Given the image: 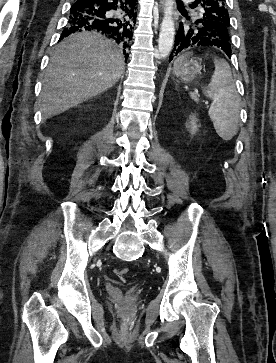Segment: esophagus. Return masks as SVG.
<instances>
[{
	"label": "esophagus",
	"instance_id": "34e87169",
	"mask_svg": "<svg viewBox=\"0 0 276 363\" xmlns=\"http://www.w3.org/2000/svg\"><path fill=\"white\" fill-rule=\"evenodd\" d=\"M160 2H161L162 4H164L165 0H160Z\"/></svg>",
	"mask_w": 276,
	"mask_h": 363
}]
</instances>
